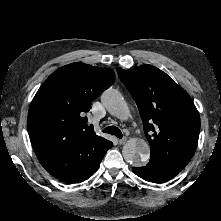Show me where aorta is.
<instances>
[{
  "label": "aorta",
  "instance_id": "1",
  "mask_svg": "<svg viewBox=\"0 0 221 221\" xmlns=\"http://www.w3.org/2000/svg\"><path fill=\"white\" fill-rule=\"evenodd\" d=\"M101 102L118 119L125 120L128 117L127 103L118 90L109 88L104 91ZM122 154L126 162L134 166H142L149 159L150 146L142 139H130L124 144Z\"/></svg>",
  "mask_w": 221,
  "mask_h": 221
}]
</instances>
